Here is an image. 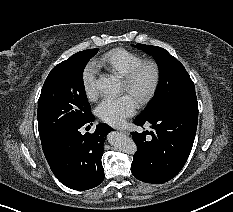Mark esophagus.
Instances as JSON below:
<instances>
[{
    "instance_id": "1",
    "label": "esophagus",
    "mask_w": 233,
    "mask_h": 212,
    "mask_svg": "<svg viewBox=\"0 0 233 212\" xmlns=\"http://www.w3.org/2000/svg\"><path fill=\"white\" fill-rule=\"evenodd\" d=\"M119 131L123 134H127V135L129 134V132L126 129H119Z\"/></svg>"
}]
</instances>
